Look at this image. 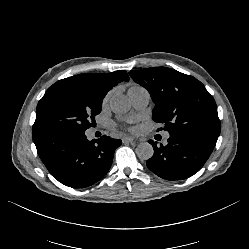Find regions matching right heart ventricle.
Listing matches in <instances>:
<instances>
[{"mask_svg": "<svg viewBox=\"0 0 249 249\" xmlns=\"http://www.w3.org/2000/svg\"><path fill=\"white\" fill-rule=\"evenodd\" d=\"M143 89H145V88L142 87L141 85L136 84V83H131L128 87V94L133 93V92H137V91H140Z\"/></svg>", "mask_w": 249, "mask_h": 249, "instance_id": "e07e8e85", "label": "right heart ventricle"}]
</instances>
